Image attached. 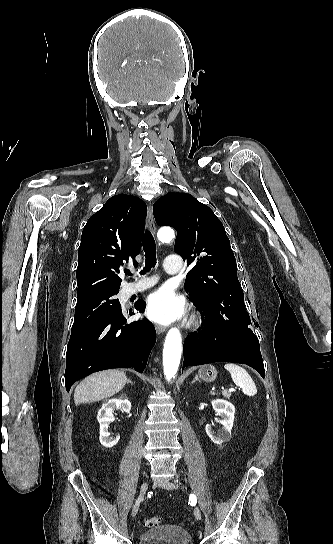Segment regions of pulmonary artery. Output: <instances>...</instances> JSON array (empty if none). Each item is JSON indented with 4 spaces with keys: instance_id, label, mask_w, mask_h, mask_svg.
I'll return each instance as SVG.
<instances>
[{
    "instance_id": "pulmonary-artery-1",
    "label": "pulmonary artery",
    "mask_w": 333,
    "mask_h": 544,
    "mask_svg": "<svg viewBox=\"0 0 333 544\" xmlns=\"http://www.w3.org/2000/svg\"><path fill=\"white\" fill-rule=\"evenodd\" d=\"M182 260L177 255H169L164 262V269L168 274H176L181 271ZM156 282L155 279H143L137 283L129 284L127 287V294L133 295L138 292L144 291Z\"/></svg>"
}]
</instances>
